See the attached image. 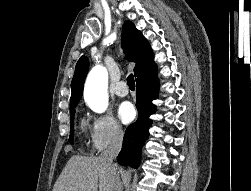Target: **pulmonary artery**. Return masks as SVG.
<instances>
[{
    "label": "pulmonary artery",
    "instance_id": "e3ab8cb5",
    "mask_svg": "<svg viewBox=\"0 0 251 191\" xmlns=\"http://www.w3.org/2000/svg\"><path fill=\"white\" fill-rule=\"evenodd\" d=\"M114 92L116 95L124 97L128 94L129 89L125 82L121 81L114 87Z\"/></svg>",
    "mask_w": 251,
    "mask_h": 191
}]
</instances>
